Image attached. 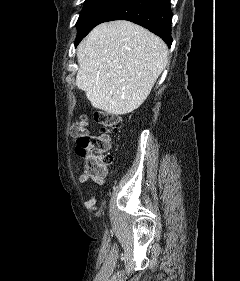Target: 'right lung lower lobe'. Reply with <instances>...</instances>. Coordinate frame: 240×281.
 <instances>
[{"instance_id": "1", "label": "right lung lower lobe", "mask_w": 240, "mask_h": 281, "mask_svg": "<svg viewBox=\"0 0 240 281\" xmlns=\"http://www.w3.org/2000/svg\"><path fill=\"white\" fill-rule=\"evenodd\" d=\"M170 0H119L97 22L128 20L161 37L171 46Z\"/></svg>"}]
</instances>
